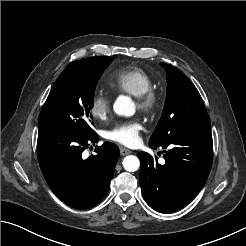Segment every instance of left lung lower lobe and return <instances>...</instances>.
Instances as JSON below:
<instances>
[{
	"label": "left lung lower lobe",
	"instance_id": "0a47b994",
	"mask_svg": "<svg viewBox=\"0 0 246 246\" xmlns=\"http://www.w3.org/2000/svg\"><path fill=\"white\" fill-rule=\"evenodd\" d=\"M151 148L157 147L149 144ZM163 165L145 152L140 159V183L148 205L161 213L179 210L204 186L213 161L211 131L176 134L160 146Z\"/></svg>",
	"mask_w": 246,
	"mask_h": 246
}]
</instances>
